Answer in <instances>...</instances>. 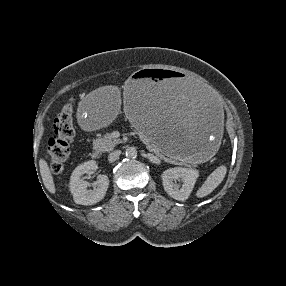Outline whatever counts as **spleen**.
I'll list each match as a JSON object with an SVG mask.
<instances>
[{"label": "spleen", "instance_id": "1", "mask_svg": "<svg viewBox=\"0 0 286 286\" xmlns=\"http://www.w3.org/2000/svg\"><path fill=\"white\" fill-rule=\"evenodd\" d=\"M227 168L222 165L217 167L205 180L202 186L197 190L196 196L203 198L212 193L224 180Z\"/></svg>", "mask_w": 286, "mask_h": 286}]
</instances>
